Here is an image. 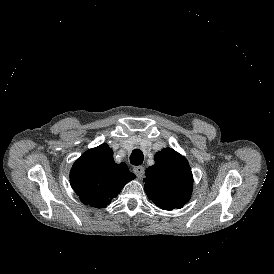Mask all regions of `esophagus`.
I'll list each match as a JSON object with an SVG mask.
<instances>
[{"mask_svg":"<svg viewBox=\"0 0 274 274\" xmlns=\"http://www.w3.org/2000/svg\"><path fill=\"white\" fill-rule=\"evenodd\" d=\"M133 172L137 175L138 178H141L144 174V167L141 165L134 166Z\"/></svg>","mask_w":274,"mask_h":274,"instance_id":"1","label":"esophagus"}]
</instances>
